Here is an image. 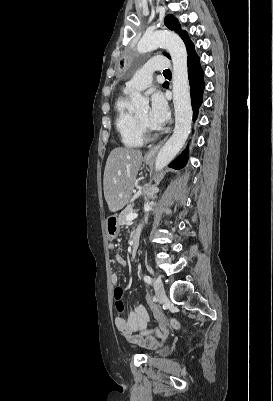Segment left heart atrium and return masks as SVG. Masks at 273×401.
Listing matches in <instances>:
<instances>
[{
    "label": "left heart atrium",
    "mask_w": 273,
    "mask_h": 401,
    "mask_svg": "<svg viewBox=\"0 0 273 401\" xmlns=\"http://www.w3.org/2000/svg\"><path fill=\"white\" fill-rule=\"evenodd\" d=\"M169 109L165 99L160 94H155L151 98L147 122L154 129L161 128L168 120Z\"/></svg>",
    "instance_id": "obj_1"
}]
</instances>
